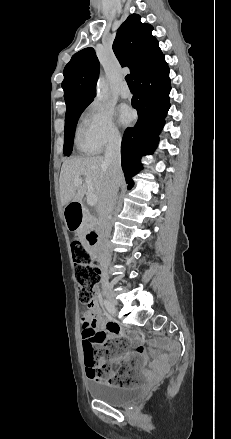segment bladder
<instances>
[{
    "label": "bladder",
    "instance_id": "bladder-1",
    "mask_svg": "<svg viewBox=\"0 0 231 439\" xmlns=\"http://www.w3.org/2000/svg\"><path fill=\"white\" fill-rule=\"evenodd\" d=\"M130 370H134V367ZM89 393L97 400L118 406L139 398L142 390L136 386L124 387L99 382L89 386Z\"/></svg>",
    "mask_w": 231,
    "mask_h": 439
}]
</instances>
